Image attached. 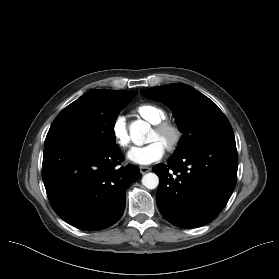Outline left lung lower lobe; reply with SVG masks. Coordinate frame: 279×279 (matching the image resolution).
Returning <instances> with one entry per match:
<instances>
[{
	"instance_id": "0a47b994",
	"label": "left lung lower lobe",
	"mask_w": 279,
	"mask_h": 279,
	"mask_svg": "<svg viewBox=\"0 0 279 279\" xmlns=\"http://www.w3.org/2000/svg\"><path fill=\"white\" fill-rule=\"evenodd\" d=\"M235 142L197 146L153 167L160 182L156 194L161 214L181 228L203 226L223 210L237 181Z\"/></svg>"
}]
</instances>
